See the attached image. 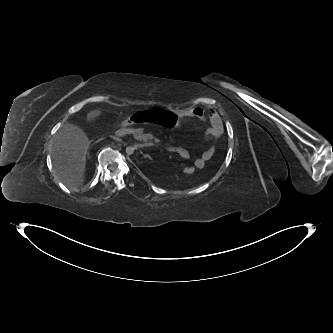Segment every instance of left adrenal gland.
I'll return each mask as SVG.
<instances>
[{"instance_id":"left-adrenal-gland-1","label":"left adrenal gland","mask_w":333,"mask_h":333,"mask_svg":"<svg viewBox=\"0 0 333 333\" xmlns=\"http://www.w3.org/2000/svg\"><path fill=\"white\" fill-rule=\"evenodd\" d=\"M144 157H145V158H146V157L150 158V156H149V155H147V154H146V155H144Z\"/></svg>"}]
</instances>
